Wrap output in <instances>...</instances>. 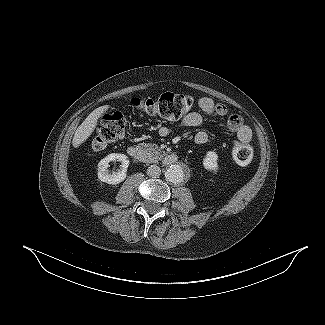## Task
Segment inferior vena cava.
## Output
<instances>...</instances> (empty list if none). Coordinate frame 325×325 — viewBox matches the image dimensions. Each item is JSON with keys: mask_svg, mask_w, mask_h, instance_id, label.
Returning a JSON list of instances; mask_svg holds the SVG:
<instances>
[{"mask_svg": "<svg viewBox=\"0 0 325 325\" xmlns=\"http://www.w3.org/2000/svg\"><path fill=\"white\" fill-rule=\"evenodd\" d=\"M161 174V169L157 165H151L147 169V175L150 177H159Z\"/></svg>", "mask_w": 325, "mask_h": 325, "instance_id": "602c4592", "label": "inferior vena cava"}]
</instances>
